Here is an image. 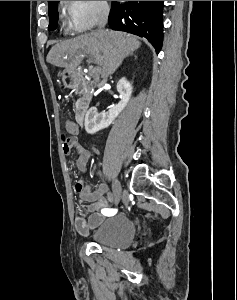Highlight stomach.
<instances>
[{
  "label": "stomach",
  "instance_id": "stomach-1",
  "mask_svg": "<svg viewBox=\"0 0 237 300\" xmlns=\"http://www.w3.org/2000/svg\"><path fill=\"white\" fill-rule=\"evenodd\" d=\"M66 73H68V71H64V73H63V79H64V81H65V79H67Z\"/></svg>",
  "mask_w": 237,
  "mask_h": 300
}]
</instances>
